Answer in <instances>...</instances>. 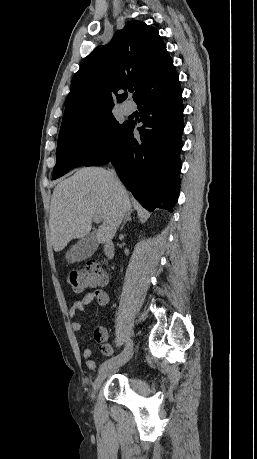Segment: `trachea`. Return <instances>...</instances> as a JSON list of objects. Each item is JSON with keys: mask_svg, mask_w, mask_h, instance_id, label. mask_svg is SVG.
<instances>
[{"mask_svg": "<svg viewBox=\"0 0 257 459\" xmlns=\"http://www.w3.org/2000/svg\"><path fill=\"white\" fill-rule=\"evenodd\" d=\"M134 90H130V92L132 93Z\"/></svg>", "mask_w": 257, "mask_h": 459, "instance_id": "trachea-1", "label": "trachea"}]
</instances>
